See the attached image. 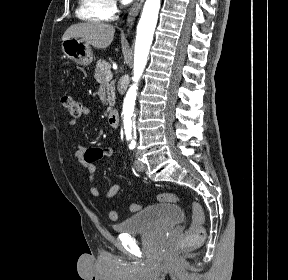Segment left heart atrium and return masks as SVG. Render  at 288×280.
<instances>
[{
	"label": "left heart atrium",
	"mask_w": 288,
	"mask_h": 280,
	"mask_svg": "<svg viewBox=\"0 0 288 280\" xmlns=\"http://www.w3.org/2000/svg\"><path fill=\"white\" fill-rule=\"evenodd\" d=\"M124 4L131 2L132 0H121Z\"/></svg>",
	"instance_id": "obj_1"
}]
</instances>
